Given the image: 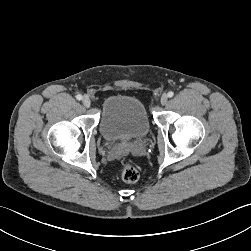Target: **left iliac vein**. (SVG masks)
I'll return each mask as SVG.
<instances>
[{
  "instance_id": "obj_1",
  "label": "left iliac vein",
  "mask_w": 251,
  "mask_h": 251,
  "mask_svg": "<svg viewBox=\"0 0 251 251\" xmlns=\"http://www.w3.org/2000/svg\"><path fill=\"white\" fill-rule=\"evenodd\" d=\"M167 101H168V96H167L166 94H163V95L161 96L160 103H161L162 105H165V104L167 103Z\"/></svg>"
}]
</instances>
